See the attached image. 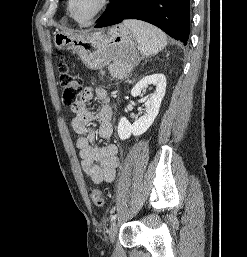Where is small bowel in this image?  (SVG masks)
Listing matches in <instances>:
<instances>
[{
    "mask_svg": "<svg viewBox=\"0 0 247 257\" xmlns=\"http://www.w3.org/2000/svg\"><path fill=\"white\" fill-rule=\"evenodd\" d=\"M97 100L101 107L96 112L88 109L87 103ZM71 126L77 134L75 145L79 150L81 169L94 184L110 183L115 179L118 166V148L110 143L105 146L95 144L96 135L108 140L113 135L112 107L107 92L102 89L85 87L78 100L71 104ZM96 121L97 132L90 126Z\"/></svg>",
    "mask_w": 247,
    "mask_h": 257,
    "instance_id": "small-bowel-1",
    "label": "small bowel"
}]
</instances>
